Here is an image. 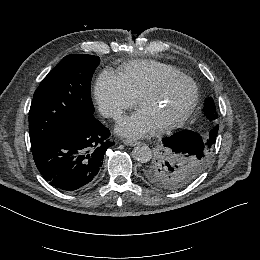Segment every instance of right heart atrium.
<instances>
[{"instance_id": "obj_1", "label": "right heart atrium", "mask_w": 260, "mask_h": 260, "mask_svg": "<svg viewBox=\"0 0 260 260\" xmlns=\"http://www.w3.org/2000/svg\"><path fill=\"white\" fill-rule=\"evenodd\" d=\"M95 98L105 117L118 119L135 104L120 77L111 70L102 71L96 81Z\"/></svg>"}]
</instances>
